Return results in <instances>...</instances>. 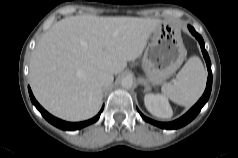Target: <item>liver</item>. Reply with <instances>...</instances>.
<instances>
[{
	"instance_id": "liver-1",
	"label": "liver",
	"mask_w": 238,
	"mask_h": 158,
	"mask_svg": "<svg viewBox=\"0 0 238 158\" xmlns=\"http://www.w3.org/2000/svg\"><path fill=\"white\" fill-rule=\"evenodd\" d=\"M157 19L71 16L51 26L30 61V84L38 102L67 121L94 117L102 103L101 70L122 72L143 52Z\"/></svg>"
}]
</instances>
